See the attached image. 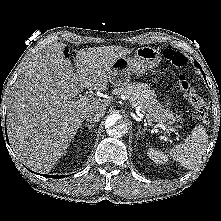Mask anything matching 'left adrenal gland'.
Listing matches in <instances>:
<instances>
[{"instance_id":"left-adrenal-gland-1","label":"left adrenal gland","mask_w":221,"mask_h":221,"mask_svg":"<svg viewBox=\"0 0 221 221\" xmlns=\"http://www.w3.org/2000/svg\"><path fill=\"white\" fill-rule=\"evenodd\" d=\"M137 129H138V131H137V135H136V137H138V135H143L144 134V132H145V129H141V125H138L137 126Z\"/></svg>"}]
</instances>
